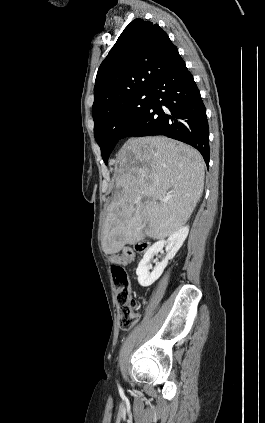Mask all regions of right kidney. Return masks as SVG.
<instances>
[{"label":"right kidney","instance_id":"obj_1","mask_svg":"<svg viewBox=\"0 0 265 423\" xmlns=\"http://www.w3.org/2000/svg\"><path fill=\"white\" fill-rule=\"evenodd\" d=\"M189 233V227L183 226L174 233H172L168 240H159L154 243L144 254L142 260L140 261L136 274L138 276V283L143 287H148L152 285L163 273L164 269L168 265V261L173 259L179 249L182 247L185 239ZM164 245H166V256L164 260L160 263H157L154 270L150 273V260L154 255H157L162 251Z\"/></svg>","mask_w":265,"mask_h":423}]
</instances>
